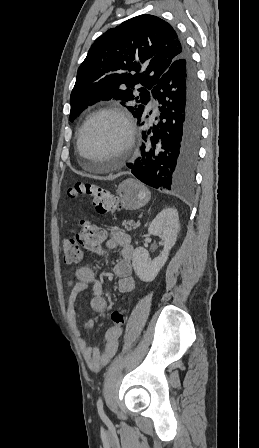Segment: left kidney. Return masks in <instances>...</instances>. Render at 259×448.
<instances>
[{
  "mask_svg": "<svg viewBox=\"0 0 259 448\" xmlns=\"http://www.w3.org/2000/svg\"><path fill=\"white\" fill-rule=\"evenodd\" d=\"M149 234L159 236L165 246L158 258L151 260L148 250L136 248L133 252V268L142 282H153L158 272L168 260L169 252L173 248L179 232V216L175 208H164L148 228Z\"/></svg>",
  "mask_w": 259,
  "mask_h": 448,
  "instance_id": "obj_1",
  "label": "left kidney"
}]
</instances>
